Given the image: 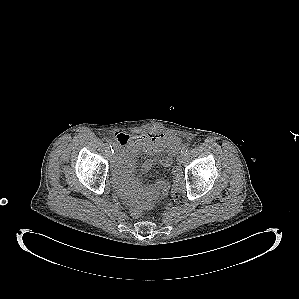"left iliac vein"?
Wrapping results in <instances>:
<instances>
[{"label": "left iliac vein", "instance_id": "1", "mask_svg": "<svg viewBox=\"0 0 299 299\" xmlns=\"http://www.w3.org/2000/svg\"><path fill=\"white\" fill-rule=\"evenodd\" d=\"M184 153H180L178 156H177V162L178 164H182L184 162Z\"/></svg>", "mask_w": 299, "mask_h": 299}]
</instances>
